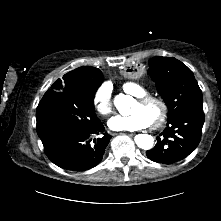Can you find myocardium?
Segmentation results:
<instances>
[{
  "label": "myocardium",
  "mask_w": 221,
  "mask_h": 221,
  "mask_svg": "<svg viewBox=\"0 0 221 221\" xmlns=\"http://www.w3.org/2000/svg\"><path fill=\"white\" fill-rule=\"evenodd\" d=\"M137 102L139 104H142V105H145V104H148V103L158 104L160 106V109H161L160 115H159V117L156 121L151 123L150 126H151L152 129H157V128L161 127L164 124V122L166 121L167 116H168V106L162 98L156 97V96H151V95H146V96H143V97H139L137 99Z\"/></svg>",
  "instance_id": "myocardium-1"
}]
</instances>
